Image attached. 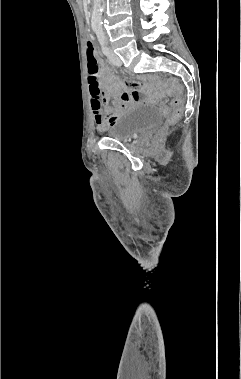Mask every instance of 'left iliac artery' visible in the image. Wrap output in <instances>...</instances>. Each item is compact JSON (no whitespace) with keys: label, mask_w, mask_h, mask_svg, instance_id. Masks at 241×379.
Returning <instances> with one entry per match:
<instances>
[{"label":"left iliac artery","mask_w":241,"mask_h":379,"mask_svg":"<svg viewBox=\"0 0 241 379\" xmlns=\"http://www.w3.org/2000/svg\"><path fill=\"white\" fill-rule=\"evenodd\" d=\"M97 38L99 40V43L102 47V51L105 55H109V48L106 46V39H105V34L102 28H98L95 30Z\"/></svg>","instance_id":"left-iliac-artery-1"}]
</instances>
